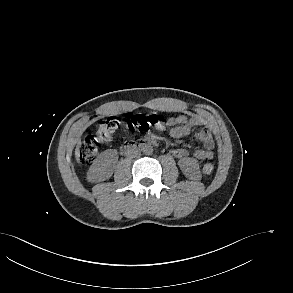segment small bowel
<instances>
[{
	"instance_id": "1",
	"label": "small bowel",
	"mask_w": 293,
	"mask_h": 293,
	"mask_svg": "<svg viewBox=\"0 0 293 293\" xmlns=\"http://www.w3.org/2000/svg\"><path fill=\"white\" fill-rule=\"evenodd\" d=\"M203 125L204 121L201 117L179 115L168 118L166 121L162 122L157 129L161 131L169 129V133L173 138H181L190 134L192 128L201 127ZM194 139L201 142L203 147L196 149L193 153H189L184 148H174L171 150L172 155L178 159L188 157L196 160L212 159L214 157V140L210 131L203 128L194 135Z\"/></svg>"
}]
</instances>
